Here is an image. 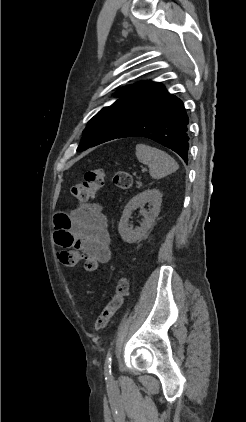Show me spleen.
<instances>
[{"mask_svg":"<svg viewBox=\"0 0 246 422\" xmlns=\"http://www.w3.org/2000/svg\"><path fill=\"white\" fill-rule=\"evenodd\" d=\"M136 157L148 165L151 177L160 179L178 169L177 162L165 151L144 144L136 145Z\"/></svg>","mask_w":246,"mask_h":422,"instance_id":"1","label":"spleen"}]
</instances>
